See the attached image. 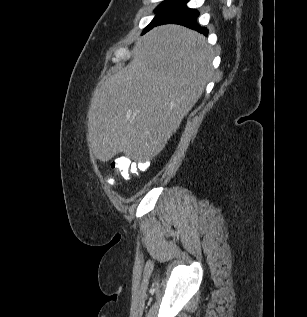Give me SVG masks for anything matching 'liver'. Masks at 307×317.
Instances as JSON below:
<instances>
[{"mask_svg":"<svg viewBox=\"0 0 307 317\" xmlns=\"http://www.w3.org/2000/svg\"><path fill=\"white\" fill-rule=\"evenodd\" d=\"M212 60L205 37L186 27L162 25L145 34L130 63L93 95L88 140L95 156L144 161L159 154L201 97Z\"/></svg>","mask_w":307,"mask_h":317,"instance_id":"1","label":"liver"}]
</instances>
